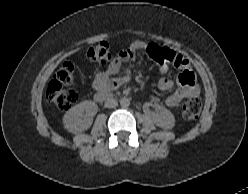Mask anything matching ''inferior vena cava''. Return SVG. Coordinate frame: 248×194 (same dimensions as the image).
Here are the masks:
<instances>
[{
	"mask_svg": "<svg viewBox=\"0 0 248 194\" xmlns=\"http://www.w3.org/2000/svg\"><path fill=\"white\" fill-rule=\"evenodd\" d=\"M118 105V102L114 98H107L105 100V107L107 108H115Z\"/></svg>",
	"mask_w": 248,
	"mask_h": 194,
	"instance_id": "obj_1",
	"label": "inferior vena cava"
}]
</instances>
